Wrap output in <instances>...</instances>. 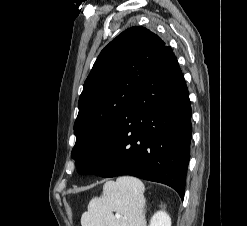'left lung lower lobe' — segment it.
Returning a JSON list of instances; mask_svg holds the SVG:
<instances>
[{"mask_svg": "<svg viewBox=\"0 0 247 226\" xmlns=\"http://www.w3.org/2000/svg\"><path fill=\"white\" fill-rule=\"evenodd\" d=\"M191 106L178 61L165 46L112 134L81 174L131 175L166 184L183 199L190 158Z\"/></svg>", "mask_w": 247, "mask_h": 226, "instance_id": "0a47b994", "label": "left lung lower lobe"}]
</instances>
